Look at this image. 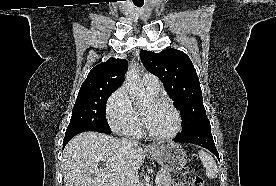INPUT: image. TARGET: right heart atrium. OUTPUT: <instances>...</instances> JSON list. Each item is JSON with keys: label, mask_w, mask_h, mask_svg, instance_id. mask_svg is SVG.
<instances>
[{"label": "right heart atrium", "mask_w": 276, "mask_h": 186, "mask_svg": "<svg viewBox=\"0 0 276 186\" xmlns=\"http://www.w3.org/2000/svg\"><path fill=\"white\" fill-rule=\"evenodd\" d=\"M106 117L111 128L117 132L133 135L140 126V117L129 97L126 86L119 87L109 97Z\"/></svg>", "instance_id": "1"}]
</instances>
